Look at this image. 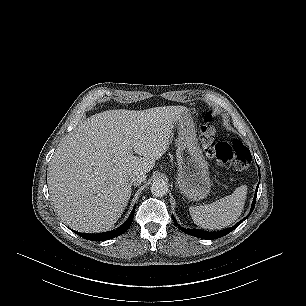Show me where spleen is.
I'll return each mask as SVG.
<instances>
[{
    "instance_id": "3e777b00",
    "label": "spleen",
    "mask_w": 306,
    "mask_h": 306,
    "mask_svg": "<svg viewBox=\"0 0 306 306\" xmlns=\"http://www.w3.org/2000/svg\"><path fill=\"white\" fill-rule=\"evenodd\" d=\"M247 195V186L237 187L231 195L212 204L191 206L190 215L194 223L204 229H222L236 221L243 209Z\"/></svg>"
}]
</instances>
